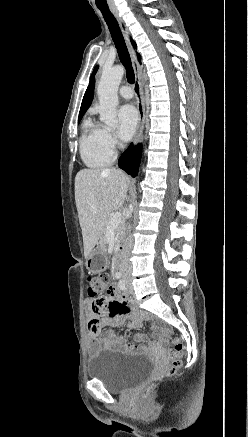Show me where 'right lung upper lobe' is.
I'll return each instance as SVG.
<instances>
[{"label": "right lung upper lobe", "instance_id": "right-lung-upper-lobe-1", "mask_svg": "<svg viewBox=\"0 0 248 437\" xmlns=\"http://www.w3.org/2000/svg\"><path fill=\"white\" fill-rule=\"evenodd\" d=\"M132 45L134 46V48L136 47V44L133 40H131ZM138 58L140 61V55L138 54ZM93 94H94V80H92L85 92V95L83 97V101L81 104V108H80V112H79V116H83L84 113L86 112V110L89 108L91 101L93 99Z\"/></svg>", "mask_w": 248, "mask_h": 437}]
</instances>
